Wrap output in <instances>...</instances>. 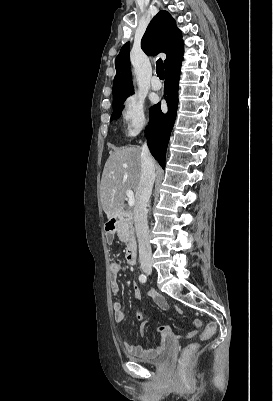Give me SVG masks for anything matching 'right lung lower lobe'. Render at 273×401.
Wrapping results in <instances>:
<instances>
[{
	"instance_id": "obj_1",
	"label": "right lung lower lobe",
	"mask_w": 273,
	"mask_h": 401,
	"mask_svg": "<svg viewBox=\"0 0 273 401\" xmlns=\"http://www.w3.org/2000/svg\"><path fill=\"white\" fill-rule=\"evenodd\" d=\"M181 61L165 70L164 99L168 112L161 111L160 103L150 110V121L146 129L149 149L162 168L165 167L166 148L175 122L178 105V84Z\"/></svg>"
}]
</instances>
